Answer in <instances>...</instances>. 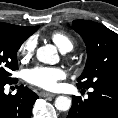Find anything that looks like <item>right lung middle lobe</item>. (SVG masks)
I'll use <instances>...</instances> for the list:
<instances>
[{"label":"right lung middle lobe","instance_id":"1","mask_svg":"<svg viewBox=\"0 0 118 118\" xmlns=\"http://www.w3.org/2000/svg\"><path fill=\"white\" fill-rule=\"evenodd\" d=\"M27 39L15 30L0 24V84L9 83L11 71L17 69V51Z\"/></svg>","mask_w":118,"mask_h":118}]
</instances>
